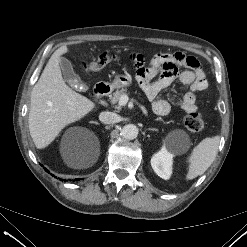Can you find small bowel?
I'll return each instance as SVG.
<instances>
[{
  "label": "small bowel",
  "instance_id": "1",
  "mask_svg": "<svg viewBox=\"0 0 247 247\" xmlns=\"http://www.w3.org/2000/svg\"><path fill=\"white\" fill-rule=\"evenodd\" d=\"M137 80L147 98L152 102L155 114L166 116L171 111L170 103L159 98V94L178 80L189 87V91L178 99L179 106L186 112L196 110V93L207 88V81L199 61L182 52L158 53L151 57L147 66L141 55L133 54ZM180 68L184 70L179 71ZM160 76L156 78V75Z\"/></svg>",
  "mask_w": 247,
  "mask_h": 247
}]
</instances>
